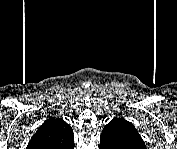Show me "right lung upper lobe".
<instances>
[{"instance_id":"obj_1","label":"right lung upper lobe","mask_w":177,"mask_h":149,"mask_svg":"<svg viewBox=\"0 0 177 149\" xmlns=\"http://www.w3.org/2000/svg\"><path fill=\"white\" fill-rule=\"evenodd\" d=\"M73 146V130L59 118H51L44 122L28 144V148L32 149H72Z\"/></svg>"}]
</instances>
